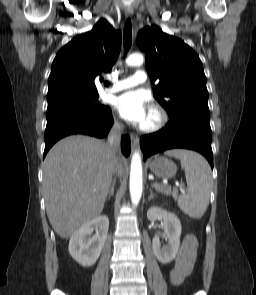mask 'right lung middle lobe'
Masks as SVG:
<instances>
[{
	"label": "right lung middle lobe",
	"mask_w": 256,
	"mask_h": 295,
	"mask_svg": "<svg viewBox=\"0 0 256 295\" xmlns=\"http://www.w3.org/2000/svg\"><path fill=\"white\" fill-rule=\"evenodd\" d=\"M98 93H69L53 100H48L49 107H77L83 110L98 111L104 110L107 106L98 100Z\"/></svg>",
	"instance_id": "obj_1"
}]
</instances>
